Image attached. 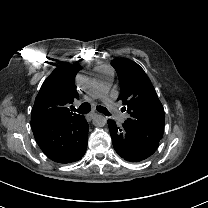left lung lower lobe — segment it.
Segmentation results:
<instances>
[{
  "label": "left lung lower lobe",
  "mask_w": 208,
  "mask_h": 208,
  "mask_svg": "<svg viewBox=\"0 0 208 208\" xmlns=\"http://www.w3.org/2000/svg\"><path fill=\"white\" fill-rule=\"evenodd\" d=\"M109 131L115 151L128 162H141L157 150L159 142L136 131L127 121L118 127L108 120Z\"/></svg>",
  "instance_id": "0a47b994"
}]
</instances>
